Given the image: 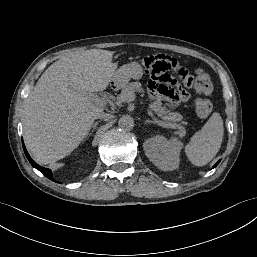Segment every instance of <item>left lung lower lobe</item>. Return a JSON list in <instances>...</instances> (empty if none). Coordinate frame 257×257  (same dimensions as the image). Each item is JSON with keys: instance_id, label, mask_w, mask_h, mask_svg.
I'll list each match as a JSON object with an SVG mask.
<instances>
[{"instance_id": "obj_1", "label": "left lung lower lobe", "mask_w": 257, "mask_h": 257, "mask_svg": "<svg viewBox=\"0 0 257 257\" xmlns=\"http://www.w3.org/2000/svg\"><path fill=\"white\" fill-rule=\"evenodd\" d=\"M218 163H219V161L213 167H215Z\"/></svg>"}]
</instances>
